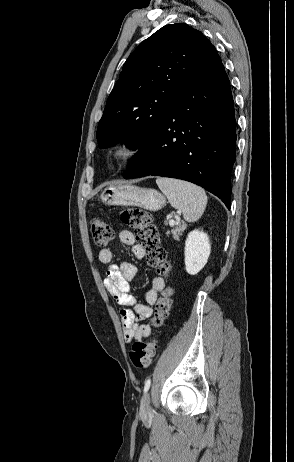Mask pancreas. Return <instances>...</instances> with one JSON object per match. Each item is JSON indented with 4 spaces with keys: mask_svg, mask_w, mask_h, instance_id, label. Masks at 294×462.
I'll return each instance as SVG.
<instances>
[{
    "mask_svg": "<svg viewBox=\"0 0 294 462\" xmlns=\"http://www.w3.org/2000/svg\"><path fill=\"white\" fill-rule=\"evenodd\" d=\"M186 229V224H180L178 226H175L172 230L171 233L173 235L174 240H179V236L182 235V233ZM169 234V233H168Z\"/></svg>",
    "mask_w": 294,
    "mask_h": 462,
    "instance_id": "pancreas-1",
    "label": "pancreas"
}]
</instances>
